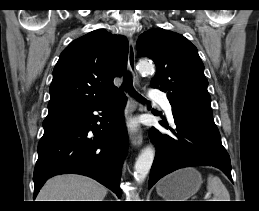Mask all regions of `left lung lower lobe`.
Wrapping results in <instances>:
<instances>
[{"label":"left lung lower lobe","mask_w":259,"mask_h":211,"mask_svg":"<svg viewBox=\"0 0 259 211\" xmlns=\"http://www.w3.org/2000/svg\"><path fill=\"white\" fill-rule=\"evenodd\" d=\"M156 114V111H152ZM176 128L160 122L173 136L152 127L149 132L156 144V156L151 168L148 187L179 168L214 166L232 181L230 157L221 143L220 133L213 116L192 110L172 107Z\"/></svg>","instance_id":"1"}]
</instances>
